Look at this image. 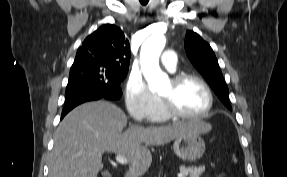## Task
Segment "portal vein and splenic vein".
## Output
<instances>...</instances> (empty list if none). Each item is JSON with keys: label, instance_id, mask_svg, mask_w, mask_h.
<instances>
[{"label": "portal vein and splenic vein", "instance_id": "1", "mask_svg": "<svg viewBox=\"0 0 287 177\" xmlns=\"http://www.w3.org/2000/svg\"><path fill=\"white\" fill-rule=\"evenodd\" d=\"M115 160H116L119 164H122V165L128 164L127 158H126L125 156H123V155L117 154V155L115 156ZM177 176H178V177H184V175H183L182 173L178 174Z\"/></svg>", "mask_w": 287, "mask_h": 177}]
</instances>
